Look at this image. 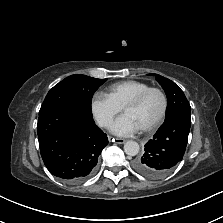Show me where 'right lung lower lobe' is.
I'll return each mask as SVG.
<instances>
[{
    "mask_svg": "<svg viewBox=\"0 0 223 223\" xmlns=\"http://www.w3.org/2000/svg\"><path fill=\"white\" fill-rule=\"evenodd\" d=\"M37 133L43 162L56 177L80 183L90 177L108 138L92 114L62 105L39 114Z\"/></svg>",
    "mask_w": 223,
    "mask_h": 223,
    "instance_id": "right-lung-lower-lobe-1",
    "label": "right lung lower lobe"
}]
</instances>
